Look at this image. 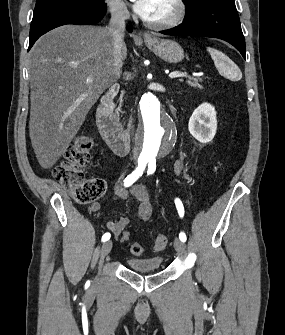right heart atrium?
<instances>
[{"label": "right heart atrium", "instance_id": "d8ad5b80", "mask_svg": "<svg viewBox=\"0 0 285 335\" xmlns=\"http://www.w3.org/2000/svg\"><path fill=\"white\" fill-rule=\"evenodd\" d=\"M107 8L117 21H126L130 16L129 7L124 1H107Z\"/></svg>", "mask_w": 285, "mask_h": 335}]
</instances>
